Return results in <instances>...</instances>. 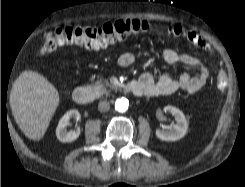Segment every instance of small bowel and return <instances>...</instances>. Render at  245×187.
Listing matches in <instances>:
<instances>
[{"mask_svg":"<svg viewBox=\"0 0 245 187\" xmlns=\"http://www.w3.org/2000/svg\"><path fill=\"white\" fill-rule=\"evenodd\" d=\"M162 57L168 64L183 63L197 70L196 75L188 72L174 79L164 74L155 79L151 74L144 73L138 78V82L144 87L145 96H165L175 93L178 90L196 94L202 90L209 82V69L197 58L186 53H180L172 48H165ZM118 63L122 67H129L134 63V55L130 52L122 53L118 58Z\"/></svg>","mask_w":245,"mask_h":187,"instance_id":"c3829d8e","label":"small bowel"}]
</instances>
